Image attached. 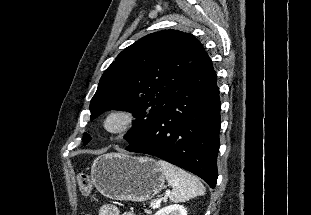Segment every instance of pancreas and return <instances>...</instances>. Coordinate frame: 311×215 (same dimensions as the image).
Wrapping results in <instances>:
<instances>
[{"mask_svg": "<svg viewBox=\"0 0 311 215\" xmlns=\"http://www.w3.org/2000/svg\"><path fill=\"white\" fill-rule=\"evenodd\" d=\"M144 212H145L146 214H150V213H151V210L145 209Z\"/></svg>", "mask_w": 311, "mask_h": 215, "instance_id": "obj_1", "label": "pancreas"}]
</instances>
